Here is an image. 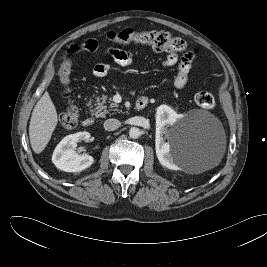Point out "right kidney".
I'll return each instance as SVG.
<instances>
[{"mask_svg": "<svg viewBox=\"0 0 267 267\" xmlns=\"http://www.w3.org/2000/svg\"><path fill=\"white\" fill-rule=\"evenodd\" d=\"M89 138L88 132H77L64 137L53 152L54 165L65 172H80L90 167L94 162L93 157L87 154L79 155L74 151L78 142Z\"/></svg>", "mask_w": 267, "mask_h": 267, "instance_id": "obj_1", "label": "right kidney"}]
</instances>
